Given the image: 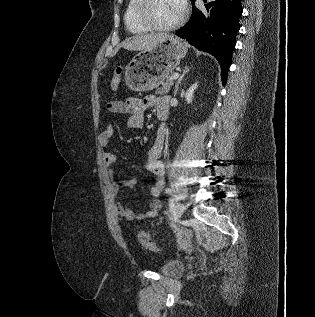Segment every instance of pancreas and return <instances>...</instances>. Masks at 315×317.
<instances>
[{"instance_id": "pancreas-1", "label": "pancreas", "mask_w": 315, "mask_h": 317, "mask_svg": "<svg viewBox=\"0 0 315 317\" xmlns=\"http://www.w3.org/2000/svg\"><path fill=\"white\" fill-rule=\"evenodd\" d=\"M172 86H173L172 76H168L166 78V81L162 84V87L157 89L156 94L157 95L168 94Z\"/></svg>"}]
</instances>
